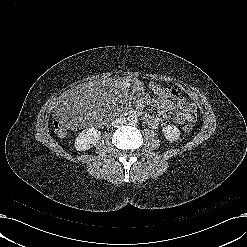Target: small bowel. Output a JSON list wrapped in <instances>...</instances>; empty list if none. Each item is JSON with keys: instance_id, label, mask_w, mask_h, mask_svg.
I'll return each instance as SVG.
<instances>
[{"instance_id": "small-bowel-1", "label": "small bowel", "mask_w": 247, "mask_h": 247, "mask_svg": "<svg viewBox=\"0 0 247 247\" xmlns=\"http://www.w3.org/2000/svg\"><path fill=\"white\" fill-rule=\"evenodd\" d=\"M153 84L156 83H152L151 85ZM165 89L168 92V97L165 101L158 102L154 99H145L146 102H151L161 109V112L157 116H151L152 120L148 125L154 128L168 120H172L177 125H182L185 121L194 122L197 116L195 108L187 103L178 91L169 88Z\"/></svg>"}]
</instances>
